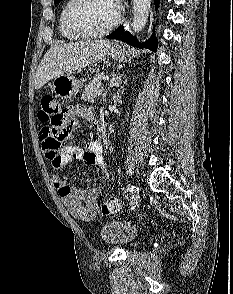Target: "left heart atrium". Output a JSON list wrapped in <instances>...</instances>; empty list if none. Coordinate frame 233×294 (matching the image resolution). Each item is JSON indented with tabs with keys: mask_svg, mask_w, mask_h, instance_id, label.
<instances>
[{
	"mask_svg": "<svg viewBox=\"0 0 233 294\" xmlns=\"http://www.w3.org/2000/svg\"><path fill=\"white\" fill-rule=\"evenodd\" d=\"M111 2H112V4H113V6L115 7V9H116L117 11H119V10H120V7H121V3H120V1H119V0H111Z\"/></svg>",
	"mask_w": 233,
	"mask_h": 294,
	"instance_id": "left-heart-atrium-1",
	"label": "left heart atrium"
}]
</instances>
